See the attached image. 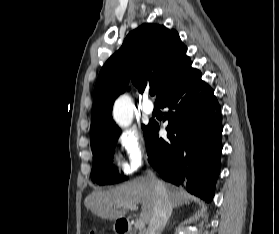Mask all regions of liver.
<instances>
[{
	"mask_svg": "<svg viewBox=\"0 0 279 234\" xmlns=\"http://www.w3.org/2000/svg\"><path fill=\"white\" fill-rule=\"evenodd\" d=\"M173 207L182 206L192 198L185 190L164 184ZM156 198L154 183L149 178H137L108 191H94L85 199V207L94 215L106 220L123 218L127 210L119 209L122 203L141 204L140 220L149 223Z\"/></svg>",
	"mask_w": 279,
	"mask_h": 234,
	"instance_id": "liver-1",
	"label": "liver"
}]
</instances>
